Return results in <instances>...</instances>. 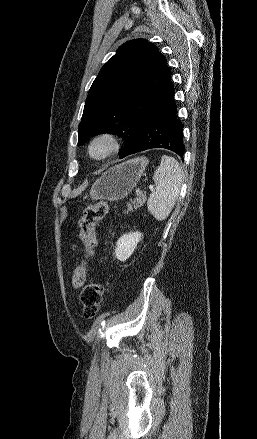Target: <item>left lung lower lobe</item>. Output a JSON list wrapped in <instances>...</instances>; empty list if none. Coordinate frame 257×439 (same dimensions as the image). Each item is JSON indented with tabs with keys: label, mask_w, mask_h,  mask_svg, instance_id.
<instances>
[{
	"label": "left lung lower lobe",
	"mask_w": 257,
	"mask_h": 439,
	"mask_svg": "<svg viewBox=\"0 0 257 439\" xmlns=\"http://www.w3.org/2000/svg\"><path fill=\"white\" fill-rule=\"evenodd\" d=\"M176 112L174 89L170 83L144 117L137 143L127 155L151 148H165L182 157L185 151L183 124L177 119Z\"/></svg>",
	"instance_id": "1"
}]
</instances>
